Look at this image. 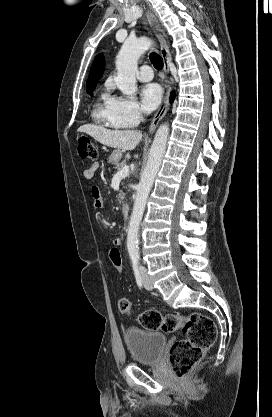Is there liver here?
<instances>
[{
    "label": "liver",
    "instance_id": "6515ba94",
    "mask_svg": "<svg viewBox=\"0 0 272 417\" xmlns=\"http://www.w3.org/2000/svg\"><path fill=\"white\" fill-rule=\"evenodd\" d=\"M78 132L86 133L101 144L120 150H133L142 139V133L137 130H110L93 124L80 126Z\"/></svg>",
    "mask_w": 272,
    "mask_h": 417
}]
</instances>
